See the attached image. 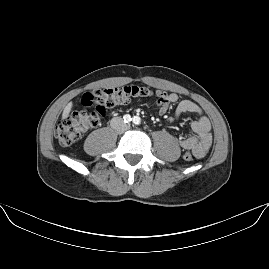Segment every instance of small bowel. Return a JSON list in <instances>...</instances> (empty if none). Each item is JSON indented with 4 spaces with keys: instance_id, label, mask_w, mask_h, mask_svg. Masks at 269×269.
<instances>
[{
    "instance_id": "obj_1",
    "label": "small bowel",
    "mask_w": 269,
    "mask_h": 269,
    "mask_svg": "<svg viewBox=\"0 0 269 269\" xmlns=\"http://www.w3.org/2000/svg\"><path fill=\"white\" fill-rule=\"evenodd\" d=\"M158 97L157 109L160 114L167 112L169 107L176 105L174 111V119L178 120L182 114L195 113L198 118L191 123L193 135L181 137L179 144L184 150H189L196 158H203L209 152L213 136L211 131V123L207 117L202 115L201 108L190 100H179L176 93H168L163 90L156 92Z\"/></svg>"
}]
</instances>
